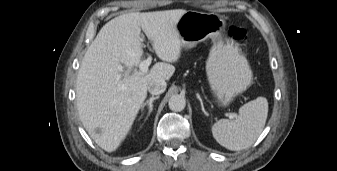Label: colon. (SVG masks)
<instances>
[{"mask_svg":"<svg viewBox=\"0 0 337 171\" xmlns=\"http://www.w3.org/2000/svg\"><path fill=\"white\" fill-rule=\"evenodd\" d=\"M247 30L238 26H231L228 29V36L234 40L241 41L247 37Z\"/></svg>","mask_w":337,"mask_h":171,"instance_id":"1","label":"colon"}]
</instances>
